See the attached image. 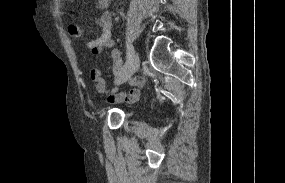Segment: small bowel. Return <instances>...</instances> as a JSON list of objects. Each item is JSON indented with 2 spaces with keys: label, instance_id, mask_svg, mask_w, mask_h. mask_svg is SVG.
<instances>
[{
  "label": "small bowel",
  "instance_id": "small-bowel-1",
  "mask_svg": "<svg viewBox=\"0 0 285 183\" xmlns=\"http://www.w3.org/2000/svg\"><path fill=\"white\" fill-rule=\"evenodd\" d=\"M111 0H97L96 6L101 10L99 16L94 18L95 23L101 28L102 34L99 38L87 43L88 48L95 55L102 53L104 50L111 49V57L113 60L112 71L115 77H119L122 71L123 60L119 50L114 48V42L112 39L113 20L108 8ZM91 80L94 82L96 89L100 93H107L106 81L102 72L99 69H92L90 71ZM129 84L133 86V89L126 95L118 94V88H113V94L109 95V103H119L124 99L128 101H135L140 94V88L143 86V79L136 77L129 80Z\"/></svg>",
  "mask_w": 285,
  "mask_h": 183
}]
</instances>
